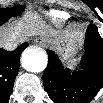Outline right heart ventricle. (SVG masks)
Instances as JSON below:
<instances>
[{
  "label": "right heart ventricle",
  "mask_w": 103,
  "mask_h": 103,
  "mask_svg": "<svg viewBox=\"0 0 103 103\" xmlns=\"http://www.w3.org/2000/svg\"><path fill=\"white\" fill-rule=\"evenodd\" d=\"M47 15L50 19L54 21H65L69 17L67 13L56 10L50 11Z\"/></svg>",
  "instance_id": "e07e8e85"
}]
</instances>
